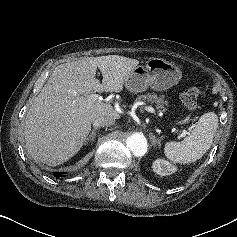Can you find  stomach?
I'll use <instances>...</instances> for the list:
<instances>
[{
  "label": "stomach",
  "instance_id": "0dacf381",
  "mask_svg": "<svg viewBox=\"0 0 237 237\" xmlns=\"http://www.w3.org/2000/svg\"><path fill=\"white\" fill-rule=\"evenodd\" d=\"M182 72L174 64L162 58H150L146 66L135 67L125 80L130 93L145 91L149 86L157 91L165 90L181 79Z\"/></svg>",
  "mask_w": 237,
  "mask_h": 237
}]
</instances>
